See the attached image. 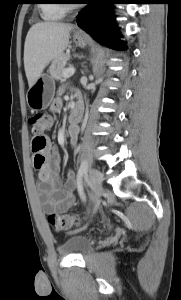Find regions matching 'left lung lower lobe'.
Segmentation results:
<instances>
[{"label": "left lung lower lobe", "instance_id": "1", "mask_svg": "<svg viewBox=\"0 0 181 300\" xmlns=\"http://www.w3.org/2000/svg\"><path fill=\"white\" fill-rule=\"evenodd\" d=\"M118 0H87V6L78 14L77 24L96 41L113 49L121 50L117 40L116 25L111 20L109 9L100 4H116Z\"/></svg>", "mask_w": 181, "mask_h": 300}]
</instances>
